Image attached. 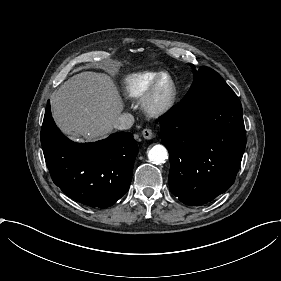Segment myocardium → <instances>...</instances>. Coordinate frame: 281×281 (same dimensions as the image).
I'll return each instance as SVG.
<instances>
[{
    "mask_svg": "<svg viewBox=\"0 0 281 281\" xmlns=\"http://www.w3.org/2000/svg\"><path fill=\"white\" fill-rule=\"evenodd\" d=\"M168 80L170 82V91L164 98L158 97L160 85ZM177 96V85L174 78L166 73L160 74L150 85L142 100L144 112L152 117L162 116L167 113L174 105Z\"/></svg>",
    "mask_w": 281,
    "mask_h": 281,
    "instance_id": "1",
    "label": "myocardium"
}]
</instances>
